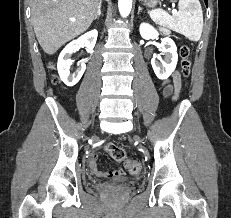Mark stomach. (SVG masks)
I'll return each mask as SVG.
<instances>
[{
	"instance_id": "obj_1",
	"label": "stomach",
	"mask_w": 231,
	"mask_h": 218,
	"mask_svg": "<svg viewBox=\"0 0 231 218\" xmlns=\"http://www.w3.org/2000/svg\"><path fill=\"white\" fill-rule=\"evenodd\" d=\"M148 7H155L158 0H142Z\"/></svg>"
}]
</instances>
